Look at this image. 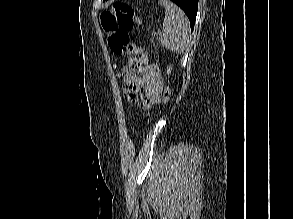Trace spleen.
Here are the masks:
<instances>
[{
	"instance_id": "spleen-1",
	"label": "spleen",
	"mask_w": 293,
	"mask_h": 219,
	"mask_svg": "<svg viewBox=\"0 0 293 219\" xmlns=\"http://www.w3.org/2000/svg\"><path fill=\"white\" fill-rule=\"evenodd\" d=\"M160 4L165 8V18L159 43L166 49L182 54L189 44V20L185 13L169 0H160Z\"/></svg>"
}]
</instances>
